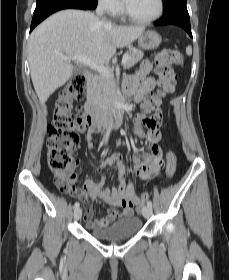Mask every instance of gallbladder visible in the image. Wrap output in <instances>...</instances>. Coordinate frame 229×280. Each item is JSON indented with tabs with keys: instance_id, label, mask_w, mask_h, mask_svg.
Masks as SVG:
<instances>
[{
	"instance_id": "bac80fb5",
	"label": "gallbladder",
	"mask_w": 229,
	"mask_h": 280,
	"mask_svg": "<svg viewBox=\"0 0 229 280\" xmlns=\"http://www.w3.org/2000/svg\"><path fill=\"white\" fill-rule=\"evenodd\" d=\"M81 70L80 69H75L74 74H80Z\"/></svg>"
}]
</instances>
